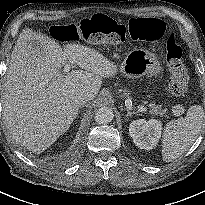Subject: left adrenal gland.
Returning <instances> with one entry per match:
<instances>
[{
  "mask_svg": "<svg viewBox=\"0 0 205 205\" xmlns=\"http://www.w3.org/2000/svg\"><path fill=\"white\" fill-rule=\"evenodd\" d=\"M125 110L127 111V117H131L133 114H138L137 112L130 111L128 108H125Z\"/></svg>",
  "mask_w": 205,
  "mask_h": 205,
  "instance_id": "obj_1",
  "label": "left adrenal gland"
}]
</instances>
